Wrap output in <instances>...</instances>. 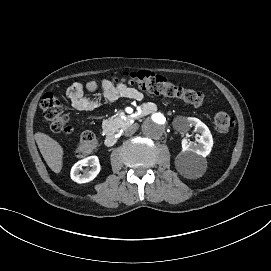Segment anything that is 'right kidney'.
<instances>
[{"instance_id": "right-kidney-1", "label": "right kidney", "mask_w": 271, "mask_h": 271, "mask_svg": "<svg viewBox=\"0 0 271 271\" xmlns=\"http://www.w3.org/2000/svg\"><path fill=\"white\" fill-rule=\"evenodd\" d=\"M85 166L84 169H82ZM100 170L99 159L96 156L84 158L71 168L70 177L77 183H85L91 181Z\"/></svg>"}]
</instances>
